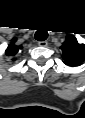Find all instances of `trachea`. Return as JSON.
I'll return each instance as SVG.
<instances>
[{"mask_svg":"<svg viewBox=\"0 0 85 118\" xmlns=\"http://www.w3.org/2000/svg\"><path fill=\"white\" fill-rule=\"evenodd\" d=\"M46 35H45V33L44 32H42V31H39L38 33H36V39L38 40V41H44V40H46Z\"/></svg>","mask_w":85,"mask_h":118,"instance_id":"3493384b","label":"trachea"}]
</instances>
